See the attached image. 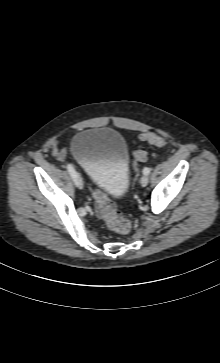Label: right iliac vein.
<instances>
[{
    "mask_svg": "<svg viewBox=\"0 0 220 363\" xmlns=\"http://www.w3.org/2000/svg\"><path fill=\"white\" fill-rule=\"evenodd\" d=\"M76 185L78 188H83V179L79 173H76Z\"/></svg>",
    "mask_w": 220,
    "mask_h": 363,
    "instance_id": "1",
    "label": "right iliac vein"
}]
</instances>
